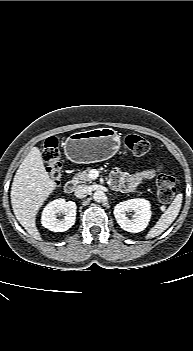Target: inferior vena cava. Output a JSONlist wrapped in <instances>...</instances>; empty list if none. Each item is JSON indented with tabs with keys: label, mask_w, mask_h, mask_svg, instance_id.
<instances>
[{
	"label": "inferior vena cava",
	"mask_w": 193,
	"mask_h": 351,
	"mask_svg": "<svg viewBox=\"0 0 193 351\" xmlns=\"http://www.w3.org/2000/svg\"><path fill=\"white\" fill-rule=\"evenodd\" d=\"M90 189H89V186L87 185H78L76 188H75V196L77 198H84L86 197V195L89 193Z\"/></svg>",
	"instance_id": "1"
}]
</instances>
